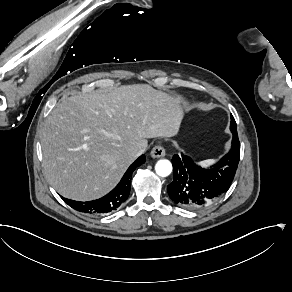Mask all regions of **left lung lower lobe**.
Listing matches in <instances>:
<instances>
[{
  "mask_svg": "<svg viewBox=\"0 0 292 292\" xmlns=\"http://www.w3.org/2000/svg\"><path fill=\"white\" fill-rule=\"evenodd\" d=\"M239 159V141L232 142L229 153L210 169L197 166L188 156L175 154L173 181L167 186L169 197L175 204L192 210L212 205L230 188Z\"/></svg>",
  "mask_w": 292,
  "mask_h": 292,
  "instance_id": "1",
  "label": "left lung lower lobe"
}]
</instances>
